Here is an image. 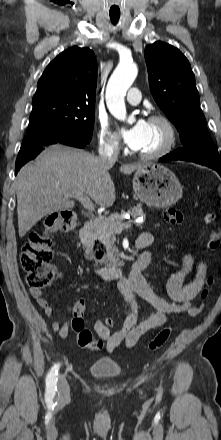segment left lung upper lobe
Segmentation results:
<instances>
[{
	"instance_id": "1",
	"label": "left lung upper lobe",
	"mask_w": 221,
	"mask_h": 440,
	"mask_svg": "<svg viewBox=\"0 0 221 440\" xmlns=\"http://www.w3.org/2000/svg\"><path fill=\"white\" fill-rule=\"evenodd\" d=\"M150 91L176 126L183 148L173 153L183 160L214 168L221 159L199 106L195 77L187 58L175 47L157 41L145 48Z\"/></svg>"
}]
</instances>
